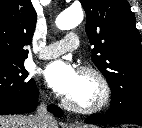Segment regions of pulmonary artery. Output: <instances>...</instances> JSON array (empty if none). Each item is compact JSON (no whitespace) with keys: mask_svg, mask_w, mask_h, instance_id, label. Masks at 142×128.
Segmentation results:
<instances>
[{"mask_svg":"<svg viewBox=\"0 0 142 128\" xmlns=\"http://www.w3.org/2000/svg\"><path fill=\"white\" fill-rule=\"evenodd\" d=\"M79 47V38L75 33L67 34L62 40L51 43L43 48L39 54L41 59L56 58L66 52L74 51Z\"/></svg>","mask_w":142,"mask_h":128,"instance_id":"e3ab8cb5","label":"pulmonary artery"}]
</instances>
